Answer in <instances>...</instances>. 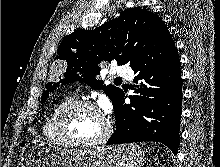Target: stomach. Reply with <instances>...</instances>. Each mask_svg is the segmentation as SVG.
I'll return each mask as SVG.
<instances>
[{
	"label": "stomach",
	"mask_w": 220,
	"mask_h": 167,
	"mask_svg": "<svg viewBox=\"0 0 220 167\" xmlns=\"http://www.w3.org/2000/svg\"><path fill=\"white\" fill-rule=\"evenodd\" d=\"M144 157L145 153L136 144L79 150L32 142L22 150L18 164L20 167H140Z\"/></svg>",
	"instance_id": "1"
}]
</instances>
